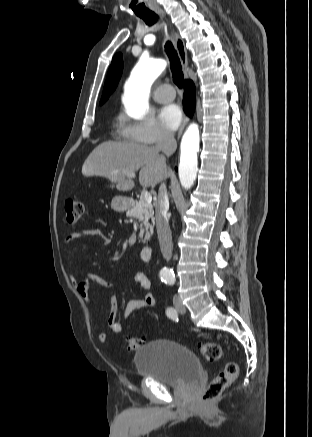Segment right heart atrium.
I'll list each match as a JSON object with an SVG mask.
<instances>
[{
    "label": "right heart atrium",
    "instance_id": "right-heart-atrium-1",
    "mask_svg": "<svg viewBox=\"0 0 312 437\" xmlns=\"http://www.w3.org/2000/svg\"><path fill=\"white\" fill-rule=\"evenodd\" d=\"M118 135L124 141L145 145L166 143L172 139L171 133L152 115L135 120L122 114L119 117Z\"/></svg>",
    "mask_w": 312,
    "mask_h": 437
}]
</instances>
